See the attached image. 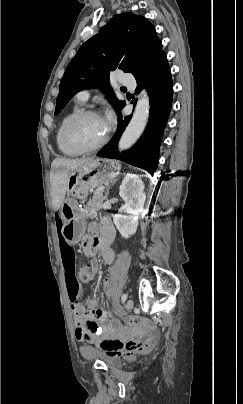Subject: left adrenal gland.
Returning a JSON list of instances; mask_svg holds the SVG:
<instances>
[{
  "instance_id": "left-adrenal-gland-1",
  "label": "left adrenal gland",
  "mask_w": 243,
  "mask_h": 404,
  "mask_svg": "<svg viewBox=\"0 0 243 404\" xmlns=\"http://www.w3.org/2000/svg\"><path fill=\"white\" fill-rule=\"evenodd\" d=\"M111 184H113V182H111ZM109 188H110V186H106V192H105L104 200H107V196L109 194Z\"/></svg>"
}]
</instances>
